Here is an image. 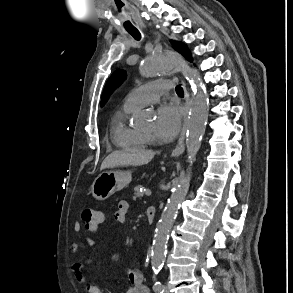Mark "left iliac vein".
Returning a JSON list of instances; mask_svg holds the SVG:
<instances>
[{"label": "left iliac vein", "mask_w": 293, "mask_h": 293, "mask_svg": "<svg viewBox=\"0 0 293 293\" xmlns=\"http://www.w3.org/2000/svg\"><path fill=\"white\" fill-rule=\"evenodd\" d=\"M164 293H169V288H168V286H165V287H164Z\"/></svg>", "instance_id": "4c4485c4"}]
</instances>
